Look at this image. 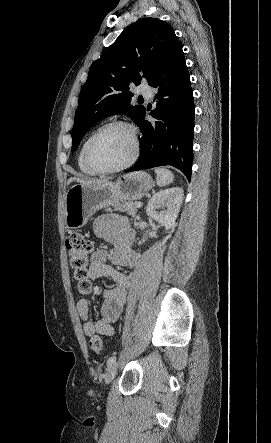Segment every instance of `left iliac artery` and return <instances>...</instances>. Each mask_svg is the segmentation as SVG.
Instances as JSON below:
<instances>
[{"mask_svg": "<svg viewBox=\"0 0 271 443\" xmlns=\"http://www.w3.org/2000/svg\"><path fill=\"white\" fill-rule=\"evenodd\" d=\"M116 362V357L115 356H112V357H110L109 359H108V361H107V366L108 367H110L113 363H115Z\"/></svg>", "mask_w": 271, "mask_h": 443, "instance_id": "obj_1", "label": "left iliac artery"}]
</instances>
